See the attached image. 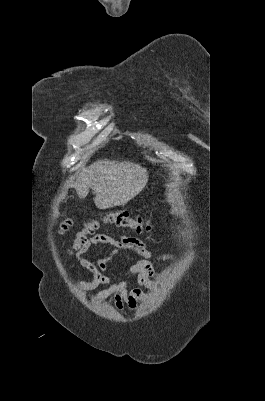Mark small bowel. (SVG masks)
<instances>
[{
  "label": "small bowel",
  "mask_w": 265,
  "mask_h": 401,
  "mask_svg": "<svg viewBox=\"0 0 265 401\" xmlns=\"http://www.w3.org/2000/svg\"><path fill=\"white\" fill-rule=\"evenodd\" d=\"M105 244L111 248L97 261H91L84 257V254L94 245ZM132 251L141 256L142 259L130 265L124 275H132L133 278L121 280L119 277H109L105 274L108 262L116 255ZM152 253L147 249L146 243L141 239L130 237L125 234L115 239L107 234H97L90 237L86 246L77 252L74 262L87 269L93 275L91 281L79 279L78 284L87 290H92L100 285L105 289L98 291L94 298L98 301H106L114 298V305L118 311H122L126 305L131 310H136L139 302L146 301V296L140 287L151 288L155 284L157 273L151 261ZM170 255H162L159 260H167ZM132 287L131 289H129Z\"/></svg>",
  "instance_id": "small-bowel-1"
}]
</instances>
